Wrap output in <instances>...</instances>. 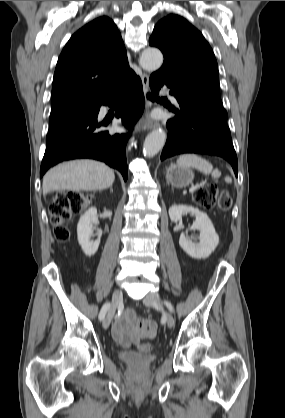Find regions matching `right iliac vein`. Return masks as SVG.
<instances>
[{
	"label": "right iliac vein",
	"instance_id": "right-iliac-vein-1",
	"mask_svg": "<svg viewBox=\"0 0 285 418\" xmlns=\"http://www.w3.org/2000/svg\"><path fill=\"white\" fill-rule=\"evenodd\" d=\"M122 298H123L122 290L121 289H116L113 292V295H112V306L109 309L108 314L104 318L103 323H102L104 329H108L109 328L110 323H111V320H112V318H113V316L115 314L116 308L121 303Z\"/></svg>",
	"mask_w": 285,
	"mask_h": 418
}]
</instances>
